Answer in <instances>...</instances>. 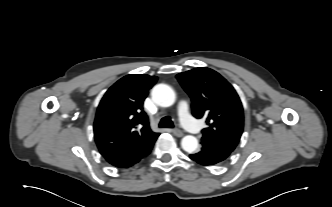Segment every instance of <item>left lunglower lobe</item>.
<instances>
[{
  "label": "left lung lower lobe",
  "instance_id": "0a47b994",
  "mask_svg": "<svg viewBox=\"0 0 332 207\" xmlns=\"http://www.w3.org/2000/svg\"><path fill=\"white\" fill-rule=\"evenodd\" d=\"M230 154L231 152L225 149L202 142L201 149L194 154H190L189 157L202 166H212L221 163Z\"/></svg>",
  "mask_w": 332,
  "mask_h": 207
}]
</instances>
